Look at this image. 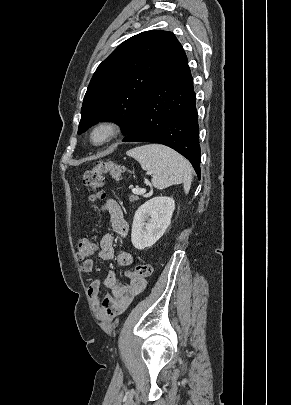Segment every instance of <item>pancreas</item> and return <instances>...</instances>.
<instances>
[{
  "label": "pancreas",
  "instance_id": "1",
  "mask_svg": "<svg viewBox=\"0 0 291 405\" xmlns=\"http://www.w3.org/2000/svg\"><path fill=\"white\" fill-rule=\"evenodd\" d=\"M138 199H139L138 196H135V195H130V196H129L130 202L137 201Z\"/></svg>",
  "mask_w": 291,
  "mask_h": 405
}]
</instances>
